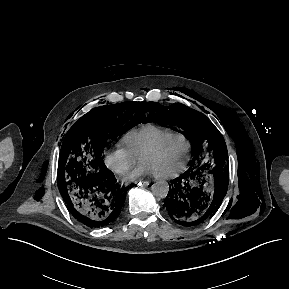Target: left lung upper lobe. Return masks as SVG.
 I'll use <instances>...</instances> for the list:
<instances>
[{"label":"left lung upper lobe","mask_w":289,"mask_h":289,"mask_svg":"<svg viewBox=\"0 0 289 289\" xmlns=\"http://www.w3.org/2000/svg\"><path fill=\"white\" fill-rule=\"evenodd\" d=\"M139 118L142 122H154L183 132L195 152L190 166H226L228 155L224 138L204 114L179 103L162 106L157 102H144Z\"/></svg>","instance_id":"left-lung-upper-lobe-1"}]
</instances>
